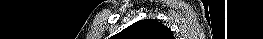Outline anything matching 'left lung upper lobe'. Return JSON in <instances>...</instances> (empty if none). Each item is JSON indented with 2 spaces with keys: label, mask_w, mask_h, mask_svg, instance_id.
Listing matches in <instances>:
<instances>
[{
  "label": "left lung upper lobe",
  "mask_w": 263,
  "mask_h": 39,
  "mask_svg": "<svg viewBox=\"0 0 263 39\" xmlns=\"http://www.w3.org/2000/svg\"><path fill=\"white\" fill-rule=\"evenodd\" d=\"M115 39H174V37L162 22L144 19L122 30Z\"/></svg>",
  "instance_id": "1"
}]
</instances>
